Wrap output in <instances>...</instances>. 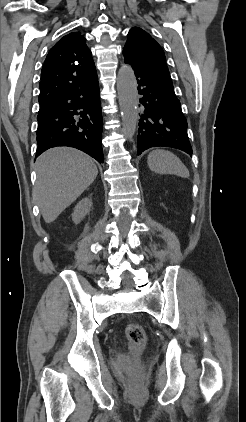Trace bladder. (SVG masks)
Masks as SVG:
<instances>
[{
    "instance_id": "31cf9c89",
    "label": "bladder",
    "mask_w": 246,
    "mask_h": 422,
    "mask_svg": "<svg viewBox=\"0 0 246 422\" xmlns=\"http://www.w3.org/2000/svg\"><path fill=\"white\" fill-rule=\"evenodd\" d=\"M118 364L120 365H126L128 363V358L126 356H121L118 358Z\"/></svg>"
}]
</instances>
